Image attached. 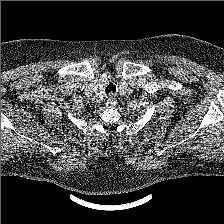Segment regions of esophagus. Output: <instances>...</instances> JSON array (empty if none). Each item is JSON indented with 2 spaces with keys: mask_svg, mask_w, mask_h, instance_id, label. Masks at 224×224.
<instances>
[{
  "mask_svg": "<svg viewBox=\"0 0 224 224\" xmlns=\"http://www.w3.org/2000/svg\"><path fill=\"white\" fill-rule=\"evenodd\" d=\"M111 96V95H110ZM116 102V98H114V97H109V99H108V104H114Z\"/></svg>",
  "mask_w": 224,
  "mask_h": 224,
  "instance_id": "34e87169",
  "label": "esophagus"
}]
</instances>
